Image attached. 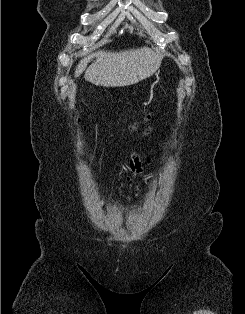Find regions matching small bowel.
<instances>
[{
	"label": "small bowel",
	"instance_id": "1",
	"mask_svg": "<svg viewBox=\"0 0 245 314\" xmlns=\"http://www.w3.org/2000/svg\"><path fill=\"white\" fill-rule=\"evenodd\" d=\"M150 117H151L150 113L146 114L141 121H137L128 125L127 129L129 131H135L141 128L145 123H147L150 120ZM150 131L151 130L149 127L144 128L140 135V139L148 135ZM126 170H127L126 180L128 182L130 183L137 182L142 178L143 176L142 166L135 152H132L130 154Z\"/></svg>",
	"mask_w": 245,
	"mask_h": 314
}]
</instances>
